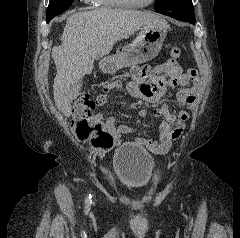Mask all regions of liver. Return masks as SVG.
Masks as SVG:
<instances>
[{"instance_id":"obj_1","label":"liver","mask_w":240,"mask_h":238,"mask_svg":"<svg viewBox=\"0 0 240 238\" xmlns=\"http://www.w3.org/2000/svg\"><path fill=\"white\" fill-rule=\"evenodd\" d=\"M168 24L147 11L100 8L74 12L67 17L61 40L52 49L57 74L54 101L66 117L72 114L73 86L94 67V60L108 55L114 44L145 27Z\"/></svg>"}]
</instances>
